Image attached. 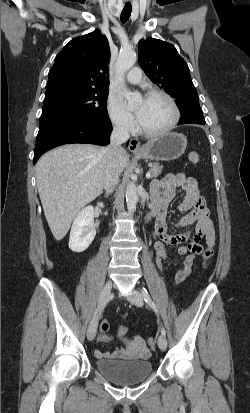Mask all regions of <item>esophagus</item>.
<instances>
[{
  "mask_svg": "<svg viewBox=\"0 0 250 413\" xmlns=\"http://www.w3.org/2000/svg\"><path fill=\"white\" fill-rule=\"evenodd\" d=\"M129 150L132 153H139L144 149L138 139H131L129 143Z\"/></svg>",
  "mask_w": 250,
  "mask_h": 413,
  "instance_id": "34e87169",
  "label": "esophagus"
}]
</instances>
